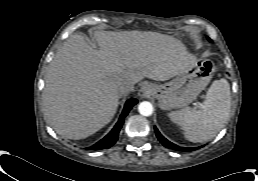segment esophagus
Segmentation results:
<instances>
[{
	"label": "esophagus",
	"mask_w": 258,
	"mask_h": 181,
	"mask_svg": "<svg viewBox=\"0 0 258 181\" xmlns=\"http://www.w3.org/2000/svg\"><path fill=\"white\" fill-rule=\"evenodd\" d=\"M146 89H147V87L144 86V87L142 88V91H145Z\"/></svg>",
	"instance_id": "obj_1"
}]
</instances>
